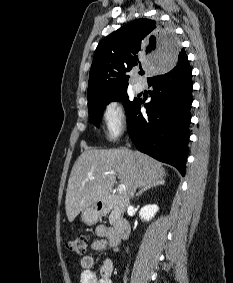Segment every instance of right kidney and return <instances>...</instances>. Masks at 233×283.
Listing matches in <instances>:
<instances>
[{
  "label": "right kidney",
  "mask_w": 233,
  "mask_h": 283,
  "mask_svg": "<svg viewBox=\"0 0 233 283\" xmlns=\"http://www.w3.org/2000/svg\"><path fill=\"white\" fill-rule=\"evenodd\" d=\"M158 206L153 204V205H146L144 207L141 208L140 212H139V216L141 217V219H144L146 221L151 220L154 215L156 214V212L158 211Z\"/></svg>",
  "instance_id": "ca27d5eb"
}]
</instances>
